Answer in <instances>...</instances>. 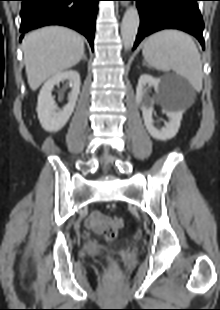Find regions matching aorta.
Instances as JSON below:
<instances>
[{"instance_id":"aorta-1","label":"aorta","mask_w":220,"mask_h":310,"mask_svg":"<svg viewBox=\"0 0 220 310\" xmlns=\"http://www.w3.org/2000/svg\"><path fill=\"white\" fill-rule=\"evenodd\" d=\"M139 27V13L136 7L130 6L122 19L121 37L126 50L133 46Z\"/></svg>"}]
</instances>
